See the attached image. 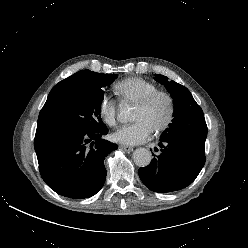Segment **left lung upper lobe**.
<instances>
[{
	"label": "left lung upper lobe",
	"instance_id": "1",
	"mask_svg": "<svg viewBox=\"0 0 248 248\" xmlns=\"http://www.w3.org/2000/svg\"><path fill=\"white\" fill-rule=\"evenodd\" d=\"M155 80L165 86L174 101V118L169 128L163 132L161 139L183 135L205 142L208 129L204 114L189 90L160 74L155 75Z\"/></svg>",
	"mask_w": 248,
	"mask_h": 248
}]
</instances>
